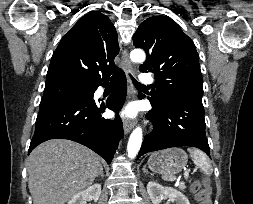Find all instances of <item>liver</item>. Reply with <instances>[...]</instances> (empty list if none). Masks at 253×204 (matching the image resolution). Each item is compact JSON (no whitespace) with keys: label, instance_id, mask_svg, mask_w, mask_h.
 I'll use <instances>...</instances> for the list:
<instances>
[{"label":"liver","instance_id":"1","mask_svg":"<svg viewBox=\"0 0 253 204\" xmlns=\"http://www.w3.org/2000/svg\"><path fill=\"white\" fill-rule=\"evenodd\" d=\"M100 158L90 149L65 139L37 146L28 159V187L33 204H65L92 185Z\"/></svg>","mask_w":253,"mask_h":204}]
</instances>
